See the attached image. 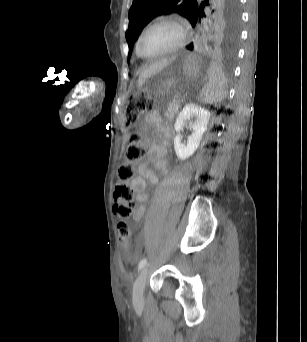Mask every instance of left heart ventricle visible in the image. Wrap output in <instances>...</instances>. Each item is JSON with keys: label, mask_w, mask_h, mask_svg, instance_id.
Returning <instances> with one entry per match:
<instances>
[{"label": "left heart ventricle", "mask_w": 307, "mask_h": 342, "mask_svg": "<svg viewBox=\"0 0 307 342\" xmlns=\"http://www.w3.org/2000/svg\"><path fill=\"white\" fill-rule=\"evenodd\" d=\"M178 39L176 28L168 22H160L151 26L144 34L141 50L145 56H156L170 48Z\"/></svg>", "instance_id": "1"}]
</instances>
